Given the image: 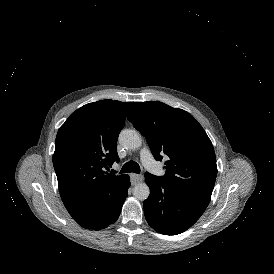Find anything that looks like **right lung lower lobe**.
Masks as SVG:
<instances>
[{
	"label": "right lung lower lobe",
	"mask_w": 274,
	"mask_h": 274,
	"mask_svg": "<svg viewBox=\"0 0 274 274\" xmlns=\"http://www.w3.org/2000/svg\"><path fill=\"white\" fill-rule=\"evenodd\" d=\"M129 186L130 179L127 175L103 196L101 203L93 211L73 217L74 220L82 227L92 230H100L113 224L120 215Z\"/></svg>",
	"instance_id": "98d812e1"
}]
</instances>
